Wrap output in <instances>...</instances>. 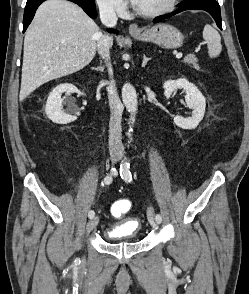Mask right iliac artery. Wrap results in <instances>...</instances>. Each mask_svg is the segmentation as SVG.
Listing matches in <instances>:
<instances>
[{
  "mask_svg": "<svg viewBox=\"0 0 249 294\" xmlns=\"http://www.w3.org/2000/svg\"><path fill=\"white\" fill-rule=\"evenodd\" d=\"M117 174V171L115 168H112L111 169V173L108 174L105 178H104V183L109 185L111 182H112V175H116ZM95 215V212L93 210H90L89 213H88V217L91 219L93 218Z\"/></svg>",
  "mask_w": 249,
  "mask_h": 294,
  "instance_id": "1",
  "label": "right iliac artery"
}]
</instances>
